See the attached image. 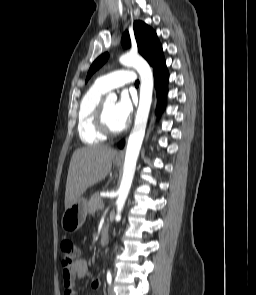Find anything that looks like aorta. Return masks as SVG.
Segmentation results:
<instances>
[{
	"mask_svg": "<svg viewBox=\"0 0 256 295\" xmlns=\"http://www.w3.org/2000/svg\"><path fill=\"white\" fill-rule=\"evenodd\" d=\"M119 62L122 65L133 67L137 70L141 78V86L139 107L135 118L134 128L129 136L126 147L123 176L116 201V218H120L121 211L131 188L137 159L145 135L153 92V73L149 64L142 57L138 54L126 53L119 58ZM116 100L117 95L115 93H109L106 98V101L115 102Z\"/></svg>",
	"mask_w": 256,
	"mask_h": 295,
	"instance_id": "obj_1",
	"label": "aorta"
}]
</instances>
